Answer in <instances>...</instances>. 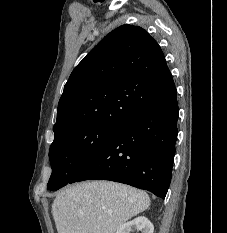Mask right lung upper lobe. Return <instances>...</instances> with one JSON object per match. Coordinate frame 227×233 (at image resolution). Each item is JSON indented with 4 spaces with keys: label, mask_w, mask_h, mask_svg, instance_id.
<instances>
[{
    "label": "right lung upper lobe",
    "mask_w": 227,
    "mask_h": 233,
    "mask_svg": "<svg viewBox=\"0 0 227 233\" xmlns=\"http://www.w3.org/2000/svg\"><path fill=\"white\" fill-rule=\"evenodd\" d=\"M174 89L158 43L141 27L120 26L71 73L59 100L54 134L86 125L120 126Z\"/></svg>",
    "instance_id": "1"
}]
</instances>
